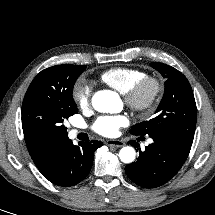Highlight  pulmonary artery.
<instances>
[{
	"mask_svg": "<svg viewBox=\"0 0 215 215\" xmlns=\"http://www.w3.org/2000/svg\"><path fill=\"white\" fill-rule=\"evenodd\" d=\"M71 135L74 137L77 135L78 131L77 130H71ZM148 143H151V141H149Z\"/></svg>",
	"mask_w": 215,
	"mask_h": 215,
	"instance_id": "1",
	"label": "pulmonary artery"
}]
</instances>
